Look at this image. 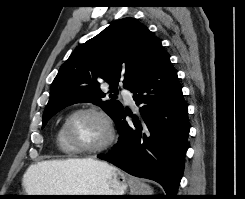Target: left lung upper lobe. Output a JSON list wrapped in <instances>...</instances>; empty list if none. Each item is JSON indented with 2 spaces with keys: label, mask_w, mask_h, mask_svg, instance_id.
<instances>
[{
  "label": "left lung upper lobe",
  "mask_w": 245,
  "mask_h": 199,
  "mask_svg": "<svg viewBox=\"0 0 245 199\" xmlns=\"http://www.w3.org/2000/svg\"><path fill=\"white\" fill-rule=\"evenodd\" d=\"M163 50L161 41L136 19L128 17L116 21L94 38L74 50L62 64L55 77L50 99L43 114V125L63 108L82 102H91L115 121L123 105L100 86L110 85L116 93L118 82L123 80L132 89L149 71L156 57Z\"/></svg>",
  "instance_id": "left-lung-upper-lobe-1"
}]
</instances>
